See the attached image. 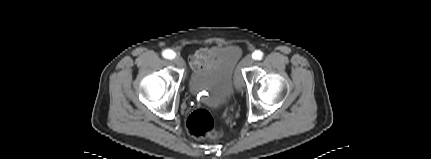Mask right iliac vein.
<instances>
[{
	"label": "right iliac vein",
	"mask_w": 431,
	"mask_h": 159,
	"mask_svg": "<svg viewBox=\"0 0 431 159\" xmlns=\"http://www.w3.org/2000/svg\"><path fill=\"white\" fill-rule=\"evenodd\" d=\"M174 62H175V64H176L178 67H180V68L185 67V61H184V60H183V58H182V57H180V56H176V57L174 58Z\"/></svg>",
	"instance_id": "right-iliac-vein-1"
}]
</instances>
